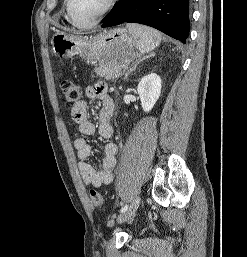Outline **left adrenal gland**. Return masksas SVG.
<instances>
[{
  "label": "left adrenal gland",
  "instance_id": "left-adrenal-gland-1",
  "mask_svg": "<svg viewBox=\"0 0 247 257\" xmlns=\"http://www.w3.org/2000/svg\"><path fill=\"white\" fill-rule=\"evenodd\" d=\"M151 56H152V54L149 55V56L143 57V58L140 59L139 61L135 62L133 68L129 69V70L127 71V73L125 74V78H124V79H127L128 75H129L132 71H135V70H136V67H137V65H138L140 62H142L143 60H145V59H147V58H149V57H151Z\"/></svg>",
  "mask_w": 247,
  "mask_h": 257
}]
</instances>
